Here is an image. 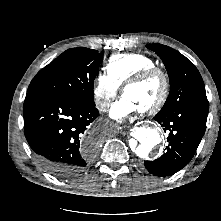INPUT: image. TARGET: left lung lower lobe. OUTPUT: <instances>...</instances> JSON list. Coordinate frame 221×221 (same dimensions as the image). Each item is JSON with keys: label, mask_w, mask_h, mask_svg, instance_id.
I'll list each match as a JSON object with an SVG mask.
<instances>
[{"label": "left lung lower lobe", "mask_w": 221, "mask_h": 221, "mask_svg": "<svg viewBox=\"0 0 221 221\" xmlns=\"http://www.w3.org/2000/svg\"><path fill=\"white\" fill-rule=\"evenodd\" d=\"M208 107L186 104L176 110L157 113L154 119L169 132V145L154 161H145V168L156 176H169L184 168L193 158L205 133Z\"/></svg>", "instance_id": "1"}]
</instances>
